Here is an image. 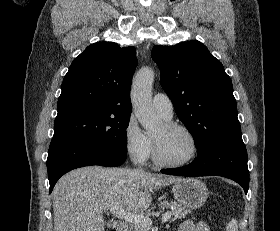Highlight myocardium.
Listing matches in <instances>:
<instances>
[{"mask_svg": "<svg viewBox=\"0 0 280 231\" xmlns=\"http://www.w3.org/2000/svg\"><path fill=\"white\" fill-rule=\"evenodd\" d=\"M165 125L168 128L183 131L184 133H186L193 142L194 151L189 158H187L183 161H169V160L164 159L161 156L158 145H157L156 141L153 139L154 160L156 161V163L158 165H160L162 167H170V168L183 167V166L191 164L193 161H195L197 159V157L200 153V143H199L198 137L196 136V134L194 133V131L192 129H190L189 127H187L183 124L173 122V121H167V122H165Z\"/></svg>", "mask_w": 280, "mask_h": 231, "instance_id": "1", "label": "myocardium"}]
</instances>
